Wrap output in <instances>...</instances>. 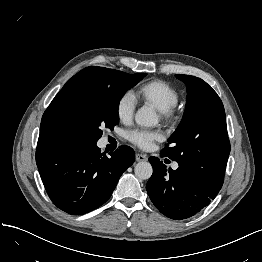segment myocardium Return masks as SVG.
Masks as SVG:
<instances>
[{
  "instance_id": "myocardium-1",
  "label": "myocardium",
  "mask_w": 262,
  "mask_h": 262,
  "mask_svg": "<svg viewBox=\"0 0 262 262\" xmlns=\"http://www.w3.org/2000/svg\"><path fill=\"white\" fill-rule=\"evenodd\" d=\"M160 115L162 119L169 124H174V122H176L178 118V115L175 112L174 107L169 108L165 111H160Z\"/></svg>"
}]
</instances>
